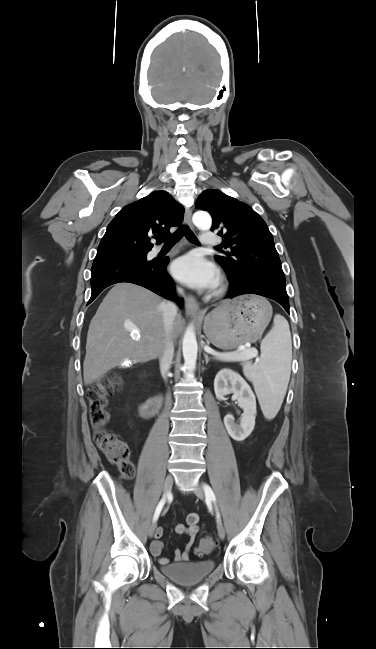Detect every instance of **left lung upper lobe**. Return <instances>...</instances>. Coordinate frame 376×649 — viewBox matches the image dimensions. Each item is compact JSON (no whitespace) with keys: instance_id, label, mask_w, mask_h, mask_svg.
I'll return each instance as SVG.
<instances>
[{"instance_id":"left-lung-upper-lobe-1","label":"left lung upper lobe","mask_w":376,"mask_h":649,"mask_svg":"<svg viewBox=\"0 0 376 649\" xmlns=\"http://www.w3.org/2000/svg\"><path fill=\"white\" fill-rule=\"evenodd\" d=\"M196 207L211 214V230L224 238L221 246L230 249L226 256L216 255L215 259L232 281H240L250 271H257L285 282L273 236L250 206L219 190H205L198 197Z\"/></svg>"}]
</instances>
